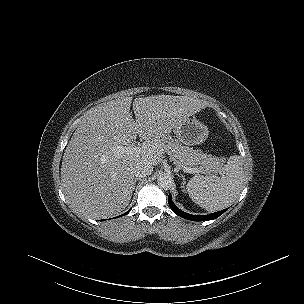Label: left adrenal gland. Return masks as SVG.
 Masks as SVG:
<instances>
[{"instance_id": "1", "label": "left adrenal gland", "mask_w": 304, "mask_h": 304, "mask_svg": "<svg viewBox=\"0 0 304 304\" xmlns=\"http://www.w3.org/2000/svg\"><path fill=\"white\" fill-rule=\"evenodd\" d=\"M180 177L182 178V186H181V188H185V184H186V179H185V176L184 175H180Z\"/></svg>"}]
</instances>
